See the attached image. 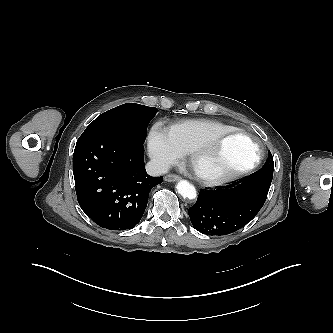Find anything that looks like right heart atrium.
<instances>
[{"mask_svg":"<svg viewBox=\"0 0 333 333\" xmlns=\"http://www.w3.org/2000/svg\"><path fill=\"white\" fill-rule=\"evenodd\" d=\"M148 152L159 170H166L186 153L171 130L161 123H155L149 131Z\"/></svg>","mask_w":333,"mask_h":333,"instance_id":"right-heart-atrium-1","label":"right heart atrium"}]
</instances>
